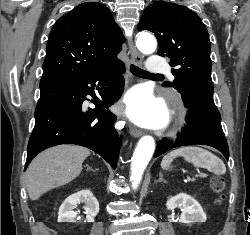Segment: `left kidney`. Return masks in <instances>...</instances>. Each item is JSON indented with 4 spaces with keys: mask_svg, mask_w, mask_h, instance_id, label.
Segmentation results:
<instances>
[{
    "mask_svg": "<svg viewBox=\"0 0 250 235\" xmlns=\"http://www.w3.org/2000/svg\"><path fill=\"white\" fill-rule=\"evenodd\" d=\"M166 207L168 210H174L176 207L181 208L182 213L179 219L181 223H199L205 222L207 219L200 204L185 193H180L168 199Z\"/></svg>",
    "mask_w": 250,
    "mask_h": 235,
    "instance_id": "left-kidney-1",
    "label": "left kidney"
}]
</instances>
